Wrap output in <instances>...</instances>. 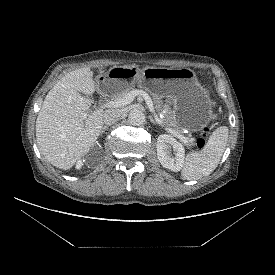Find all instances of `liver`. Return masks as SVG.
I'll list each match as a JSON object with an SVG mask.
<instances>
[{"mask_svg": "<svg viewBox=\"0 0 275 275\" xmlns=\"http://www.w3.org/2000/svg\"><path fill=\"white\" fill-rule=\"evenodd\" d=\"M96 88L93 72L83 67L65 74L46 95L36 120V139L53 166L70 169L99 137L104 111L88 113L91 102L80 94L92 95Z\"/></svg>", "mask_w": 275, "mask_h": 275, "instance_id": "liver-1", "label": "liver"}]
</instances>
